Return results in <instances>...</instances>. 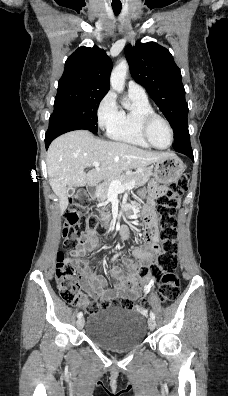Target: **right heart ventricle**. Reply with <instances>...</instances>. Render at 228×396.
I'll use <instances>...</instances> for the list:
<instances>
[{
  "label": "right heart ventricle",
  "mask_w": 228,
  "mask_h": 396,
  "mask_svg": "<svg viewBox=\"0 0 228 396\" xmlns=\"http://www.w3.org/2000/svg\"><path fill=\"white\" fill-rule=\"evenodd\" d=\"M132 105L127 110H120L118 121L108 129V136L117 141L149 149L150 146L143 139L140 132V117L145 113L154 112L147 97L129 94Z\"/></svg>",
  "instance_id": "1"
}]
</instances>
